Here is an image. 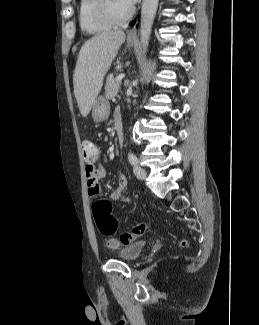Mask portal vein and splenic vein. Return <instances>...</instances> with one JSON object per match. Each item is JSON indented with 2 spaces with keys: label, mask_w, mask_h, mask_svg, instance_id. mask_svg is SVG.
<instances>
[{
  "label": "portal vein and splenic vein",
  "mask_w": 259,
  "mask_h": 325,
  "mask_svg": "<svg viewBox=\"0 0 259 325\" xmlns=\"http://www.w3.org/2000/svg\"><path fill=\"white\" fill-rule=\"evenodd\" d=\"M125 77V74H119L116 78L117 81H121Z\"/></svg>",
  "instance_id": "obj_1"
}]
</instances>
